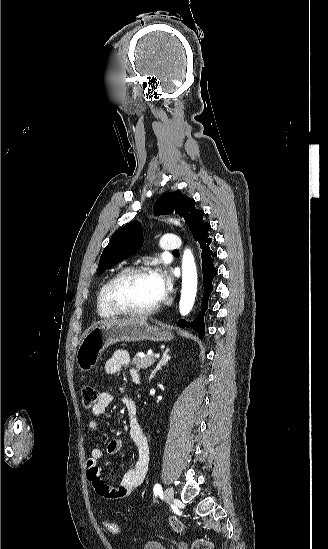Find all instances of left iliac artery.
<instances>
[{
    "label": "left iliac artery",
    "mask_w": 328,
    "mask_h": 549,
    "mask_svg": "<svg viewBox=\"0 0 328 549\" xmlns=\"http://www.w3.org/2000/svg\"><path fill=\"white\" fill-rule=\"evenodd\" d=\"M153 491H154L155 496H157L158 494H160V493L162 492V487H161V485H160V484H155Z\"/></svg>",
    "instance_id": "obj_1"
}]
</instances>
